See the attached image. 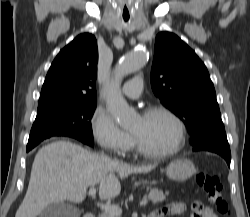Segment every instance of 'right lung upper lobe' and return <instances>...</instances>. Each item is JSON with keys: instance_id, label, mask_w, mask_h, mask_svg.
Here are the masks:
<instances>
[{"instance_id": "obj_1", "label": "right lung upper lobe", "mask_w": 250, "mask_h": 217, "mask_svg": "<svg viewBox=\"0 0 250 217\" xmlns=\"http://www.w3.org/2000/svg\"><path fill=\"white\" fill-rule=\"evenodd\" d=\"M98 49L89 33L77 36L54 59L45 78L37 112L96 102Z\"/></svg>"}]
</instances>
